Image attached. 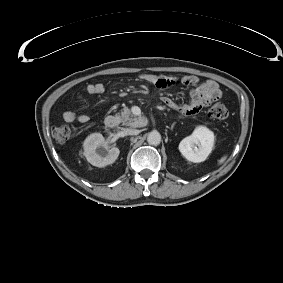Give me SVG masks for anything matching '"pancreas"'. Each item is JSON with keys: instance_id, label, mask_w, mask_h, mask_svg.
Returning <instances> with one entry per match:
<instances>
[{"instance_id": "1", "label": "pancreas", "mask_w": 283, "mask_h": 283, "mask_svg": "<svg viewBox=\"0 0 283 283\" xmlns=\"http://www.w3.org/2000/svg\"><path fill=\"white\" fill-rule=\"evenodd\" d=\"M120 121L125 126L130 127H139L140 118L132 114L131 110L128 107H124L119 114Z\"/></svg>"}]
</instances>
